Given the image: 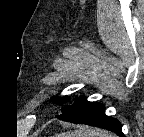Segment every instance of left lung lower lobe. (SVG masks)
<instances>
[{"mask_svg":"<svg viewBox=\"0 0 144 137\" xmlns=\"http://www.w3.org/2000/svg\"><path fill=\"white\" fill-rule=\"evenodd\" d=\"M104 110L102 104L89 102L84 96H81L72 105L62 109V114L58 118L67 122L104 128L124 137L121 123L117 119L106 116Z\"/></svg>","mask_w":144,"mask_h":137,"instance_id":"obj_1","label":"left lung lower lobe"}]
</instances>
